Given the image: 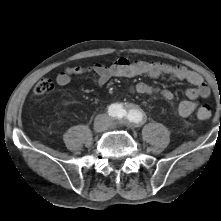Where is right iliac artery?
Here are the masks:
<instances>
[{
    "mask_svg": "<svg viewBox=\"0 0 221 221\" xmlns=\"http://www.w3.org/2000/svg\"><path fill=\"white\" fill-rule=\"evenodd\" d=\"M125 111L118 104H112L108 108V114L112 117L121 118L125 115Z\"/></svg>",
    "mask_w": 221,
    "mask_h": 221,
    "instance_id": "right-iliac-artery-1",
    "label": "right iliac artery"
}]
</instances>
